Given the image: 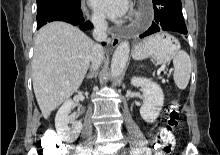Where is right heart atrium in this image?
Masks as SVG:
<instances>
[{
  "label": "right heart atrium",
  "mask_w": 220,
  "mask_h": 155,
  "mask_svg": "<svg viewBox=\"0 0 220 155\" xmlns=\"http://www.w3.org/2000/svg\"><path fill=\"white\" fill-rule=\"evenodd\" d=\"M91 19H92L93 24L98 26V27H103L106 23L105 18L97 12H94L92 14Z\"/></svg>",
  "instance_id": "obj_1"
}]
</instances>
